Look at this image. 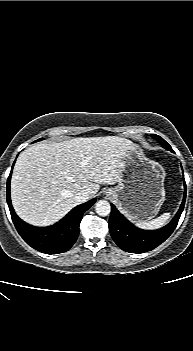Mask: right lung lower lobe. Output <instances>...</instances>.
Returning a JSON list of instances; mask_svg holds the SVG:
<instances>
[{"label":"right lung lower lobe","instance_id":"obj_1","mask_svg":"<svg viewBox=\"0 0 193 351\" xmlns=\"http://www.w3.org/2000/svg\"><path fill=\"white\" fill-rule=\"evenodd\" d=\"M10 179L7 180V203L12 221L23 240L32 248L47 254H58L69 250L79 235L83 213L96 201L92 199L73 208L61 221L49 227H35L22 221L15 213L10 198Z\"/></svg>","mask_w":193,"mask_h":351}]
</instances>
